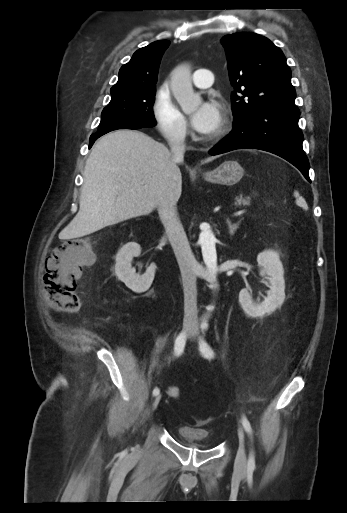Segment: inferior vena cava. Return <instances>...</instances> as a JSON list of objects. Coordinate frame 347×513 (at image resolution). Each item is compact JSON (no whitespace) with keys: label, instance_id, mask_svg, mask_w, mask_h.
I'll list each match as a JSON object with an SVG mask.
<instances>
[{"label":"inferior vena cava","instance_id":"1","mask_svg":"<svg viewBox=\"0 0 347 513\" xmlns=\"http://www.w3.org/2000/svg\"><path fill=\"white\" fill-rule=\"evenodd\" d=\"M172 159L175 163L183 161L185 144L182 136H175L169 140ZM178 196L174 186H166L160 192L157 205L161 221L167 228V234L178 261L184 291V313L189 318H197V289L196 269L197 261L191 251L182 224L177 212Z\"/></svg>","mask_w":347,"mask_h":513}]
</instances>
